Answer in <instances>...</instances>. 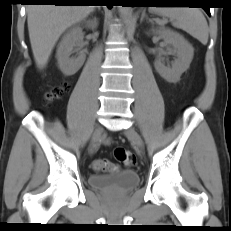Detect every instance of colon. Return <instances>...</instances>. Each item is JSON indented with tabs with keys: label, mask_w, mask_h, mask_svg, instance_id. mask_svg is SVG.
<instances>
[{
	"label": "colon",
	"mask_w": 231,
	"mask_h": 231,
	"mask_svg": "<svg viewBox=\"0 0 231 231\" xmlns=\"http://www.w3.org/2000/svg\"><path fill=\"white\" fill-rule=\"evenodd\" d=\"M68 89H69V85L67 83H63L62 85L56 86L52 88L46 94V99L48 101H53L55 99H58L62 97L64 93L68 91ZM115 157L123 165L128 166V167L134 166L136 163L135 155L131 151L126 150L124 148H117L115 150ZM93 168L96 171H103V170L115 171L116 170V166L106 159L95 160L93 163Z\"/></svg>",
	"instance_id": "obj_1"
}]
</instances>
